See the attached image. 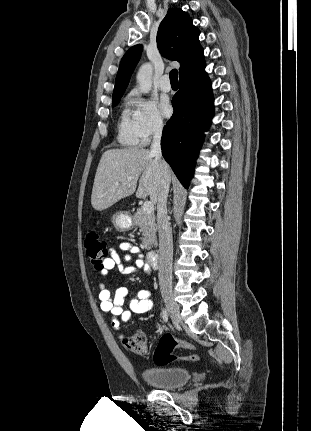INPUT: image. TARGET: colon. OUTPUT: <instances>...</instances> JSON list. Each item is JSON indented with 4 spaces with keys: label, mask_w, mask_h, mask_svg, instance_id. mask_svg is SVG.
Listing matches in <instances>:
<instances>
[{
    "label": "colon",
    "mask_w": 311,
    "mask_h": 431,
    "mask_svg": "<svg viewBox=\"0 0 311 431\" xmlns=\"http://www.w3.org/2000/svg\"><path fill=\"white\" fill-rule=\"evenodd\" d=\"M86 255L93 266L100 270L103 268L105 259L108 257V245L105 240L98 235H90L85 241ZM124 347L131 353L139 356L147 354L146 336L142 332H137L123 340ZM177 348L194 350V345L177 341L171 335H164L158 343L154 352V362L156 365L163 366L177 360L196 362L199 357L195 354L177 356L174 351Z\"/></svg>",
    "instance_id": "1"
}]
</instances>
